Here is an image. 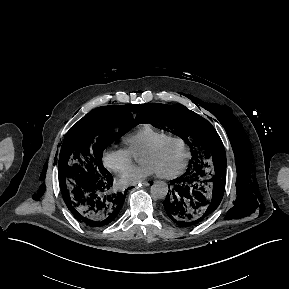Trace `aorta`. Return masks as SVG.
<instances>
[{"label": "aorta", "mask_w": 289, "mask_h": 289, "mask_svg": "<svg viewBox=\"0 0 289 289\" xmlns=\"http://www.w3.org/2000/svg\"><path fill=\"white\" fill-rule=\"evenodd\" d=\"M168 193V185L164 181H156L151 186V195L155 199H163Z\"/></svg>", "instance_id": "obj_1"}]
</instances>
